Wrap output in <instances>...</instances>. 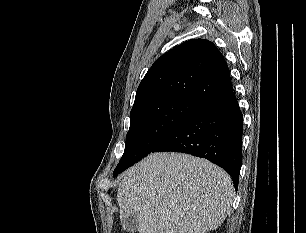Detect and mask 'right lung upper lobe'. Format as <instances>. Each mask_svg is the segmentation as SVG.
Instances as JSON below:
<instances>
[{
  "mask_svg": "<svg viewBox=\"0 0 306 233\" xmlns=\"http://www.w3.org/2000/svg\"><path fill=\"white\" fill-rule=\"evenodd\" d=\"M231 90L229 68L218 48L208 40L192 39L151 66L131 111L162 98H185L203 106Z\"/></svg>",
  "mask_w": 306,
  "mask_h": 233,
  "instance_id": "1",
  "label": "right lung upper lobe"
}]
</instances>
